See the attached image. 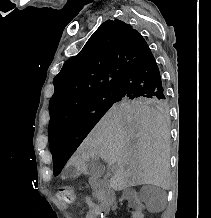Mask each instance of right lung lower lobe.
<instances>
[{
    "label": "right lung lower lobe",
    "mask_w": 211,
    "mask_h": 218,
    "mask_svg": "<svg viewBox=\"0 0 211 218\" xmlns=\"http://www.w3.org/2000/svg\"><path fill=\"white\" fill-rule=\"evenodd\" d=\"M120 97L166 98L159 68L152 53L133 67L114 89Z\"/></svg>",
    "instance_id": "obj_1"
}]
</instances>
